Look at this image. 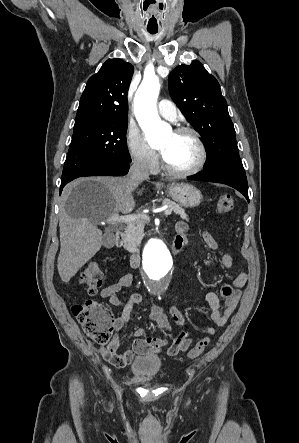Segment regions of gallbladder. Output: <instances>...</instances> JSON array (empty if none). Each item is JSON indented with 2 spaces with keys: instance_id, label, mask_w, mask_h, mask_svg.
Wrapping results in <instances>:
<instances>
[{
  "instance_id": "obj_1",
  "label": "gallbladder",
  "mask_w": 299,
  "mask_h": 443,
  "mask_svg": "<svg viewBox=\"0 0 299 443\" xmlns=\"http://www.w3.org/2000/svg\"><path fill=\"white\" fill-rule=\"evenodd\" d=\"M110 236V235H104V246L105 247H109L110 246V241H108L106 238Z\"/></svg>"
}]
</instances>
